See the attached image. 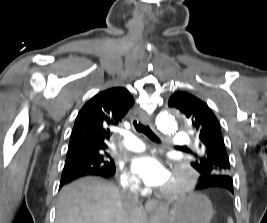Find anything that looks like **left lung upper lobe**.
Returning <instances> with one entry per match:
<instances>
[{"instance_id": "5c2ea615", "label": "left lung upper lobe", "mask_w": 267, "mask_h": 223, "mask_svg": "<svg viewBox=\"0 0 267 223\" xmlns=\"http://www.w3.org/2000/svg\"><path fill=\"white\" fill-rule=\"evenodd\" d=\"M168 106L178 109L197 132L203 154L196 156L191 165L199 173L230 174L221 128L207 104L187 92L178 91L169 98Z\"/></svg>"}]
</instances>
